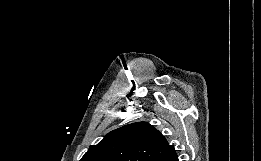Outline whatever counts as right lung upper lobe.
<instances>
[{
  "label": "right lung upper lobe",
  "mask_w": 261,
  "mask_h": 161,
  "mask_svg": "<svg viewBox=\"0 0 261 161\" xmlns=\"http://www.w3.org/2000/svg\"><path fill=\"white\" fill-rule=\"evenodd\" d=\"M176 154L152 125L137 122L108 133L80 161H163Z\"/></svg>",
  "instance_id": "obj_1"
}]
</instances>
